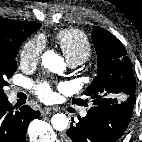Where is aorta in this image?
I'll return each instance as SVG.
<instances>
[{"instance_id": "1", "label": "aorta", "mask_w": 142, "mask_h": 142, "mask_svg": "<svg viewBox=\"0 0 142 142\" xmlns=\"http://www.w3.org/2000/svg\"><path fill=\"white\" fill-rule=\"evenodd\" d=\"M42 64L51 72L61 74L66 68L63 59L53 50H47L42 55ZM68 117L63 113H57L51 118L52 126L57 131H63L68 126Z\"/></svg>"}]
</instances>
